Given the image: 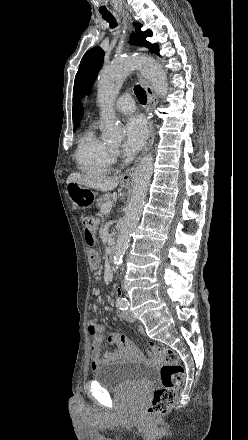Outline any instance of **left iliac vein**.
Returning a JSON list of instances; mask_svg holds the SVG:
<instances>
[{"label":"left iliac vein","instance_id":"1","mask_svg":"<svg viewBox=\"0 0 248 440\" xmlns=\"http://www.w3.org/2000/svg\"><path fill=\"white\" fill-rule=\"evenodd\" d=\"M122 317L129 322H133L136 319L134 314L130 310L123 312Z\"/></svg>","mask_w":248,"mask_h":440}]
</instances>
